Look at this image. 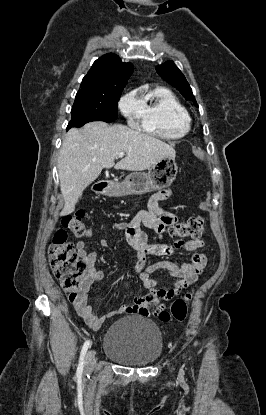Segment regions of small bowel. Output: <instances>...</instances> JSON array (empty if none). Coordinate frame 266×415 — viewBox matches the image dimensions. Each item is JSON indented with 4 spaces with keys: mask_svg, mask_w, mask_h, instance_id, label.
<instances>
[{
    "mask_svg": "<svg viewBox=\"0 0 266 415\" xmlns=\"http://www.w3.org/2000/svg\"><path fill=\"white\" fill-rule=\"evenodd\" d=\"M171 193V190L155 193L148 201L147 210L139 211L128 223L120 222L113 225L114 229L125 231L129 244L137 253L134 272L150 291L144 297L135 298L133 304L122 305L118 310L103 316H99L93 311L87 302L88 293L94 284L102 281L104 275L95 268L98 255L94 252H88L83 241L77 242L76 248L79 256L86 264V272L81 279L79 295L71 303L76 313L91 329L98 330L106 320L116 315L140 314L147 316L148 314L144 312L147 306L153 305L157 308H163L164 302L178 296L182 290L195 283L198 276L204 272L207 258L202 253L193 254L189 262L186 263L161 262L146 266L147 257L150 255L168 256L177 250L193 252L204 246V242L199 239L179 240L172 245L150 244L147 242L145 233L140 229L141 225L153 229L157 233H165L177 221L174 214L163 210L159 205L161 201L168 199ZM100 246L103 248L109 247V241L105 238L101 239ZM157 270L167 271L170 276L175 278V281L167 288H159L157 281L150 278V274ZM124 285L127 290L131 289L129 280H126Z\"/></svg>",
    "mask_w": 266,
    "mask_h": 415,
    "instance_id": "1",
    "label": "small bowel"
}]
</instances>
